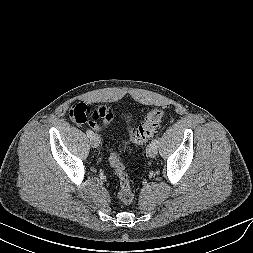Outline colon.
Segmentation results:
<instances>
[{"mask_svg":"<svg viewBox=\"0 0 253 253\" xmlns=\"http://www.w3.org/2000/svg\"><path fill=\"white\" fill-rule=\"evenodd\" d=\"M71 120L76 123L84 124L89 123L94 118V110L88 107L85 104H76L74 105L69 112ZM163 111L159 108L151 110L144 121L136 127H131L129 129V136L131 140L135 143H144L149 138L153 136L159 124L163 118ZM109 163L112 169L114 170L118 181V198L124 204H129L134 199V193L132 191L130 179L125 171V167L121 161L119 153L112 149L109 156Z\"/></svg>","mask_w":253,"mask_h":253,"instance_id":"5ec220e1","label":"colon"}]
</instances>
